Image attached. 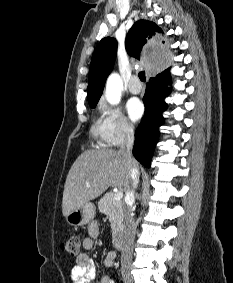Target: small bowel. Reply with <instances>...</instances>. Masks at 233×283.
Masks as SVG:
<instances>
[{"label": "small bowel", "instance_id": "small-bowel-1", "mask_svg": "<svg viewBox=\"0 0 233 283\" xmlns=\"http://www.w3.org/2000/svg\"><path fill=\"white\" fill-rule=\"evenodd\" d=\"M89 236L84 238L83 247L85 250H92L95 246V239L99 236L98 226L95 222L90 223L88 227ZM116 258V252L110 251L104 259L106 267H111ZM96 275L95 264L87 253H81L76 264L71 270V278L73 283H91ZM99 283H115L108 272L101 275Z\"/></svg>", "mask_w": 233, "mask_h": 283}]
</instances>
